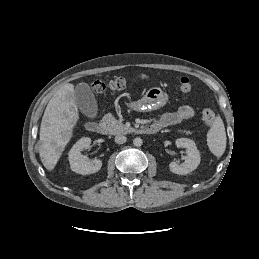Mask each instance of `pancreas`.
I'll return each mask as SVG.
<instances>
[{"label":"pancreas","instance_id":"cf45deb5","mask_svg":"<svg viewBox=\"0 0 259 259\" xmlns=\"http://www.w3.org/2000/svg\"><path fill=\"white\" fill-rule=\"evenodd\" d=\"M102 121V124L106 127V130L110 135L127 134L133 130L116 120L112 114H106Z\"/></svg>","mask_w":259,"mask_h":259}]
</instances>
